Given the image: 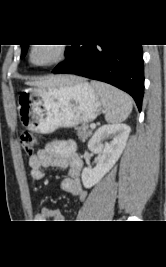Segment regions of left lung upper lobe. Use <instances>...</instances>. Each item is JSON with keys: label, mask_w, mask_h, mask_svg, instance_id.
I'll return each instance as SVG.
<instances>
[{"label": "left lung upper lobe", "mask_w": 166, "mask_h": 267, "mask_svg": "<svg viewBox=\"0 0 166 267\" xmlns=\"http://www.w3.org/2000/svg\"><path fill=\"white\" fill-rule=\"evenodd\" d=\"M21 48H22L21 58H23L27 53L28 45H21Z\"/></svg>", "instance_id": "left-lung-upper-lobe-1"}]
</instances>
